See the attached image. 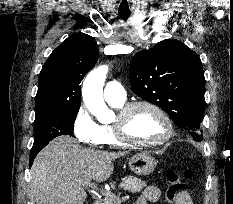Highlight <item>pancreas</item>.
<instances>
[{
    "mask_svg": "<svg viewBox=\"0 0 233 204\" xmlns=\"http://www.w3.org/2000/svg\"><path fill=\"white\" fill-rule=\"evenodd\" d=\"M146 186L147 185L145 182L132 175H128L122 178V182L119 185L120 188H123L124 190L130 191L132 193L140 192ZM101 204H120V202L118 197L115 194H112L111 197L106 196Z\"/></svg>",
    "mask_w": 233,
    "mask_h": 204,
    "instance_id": "pancreas-1",
    "label": "pancreas"
}]
</instances>
